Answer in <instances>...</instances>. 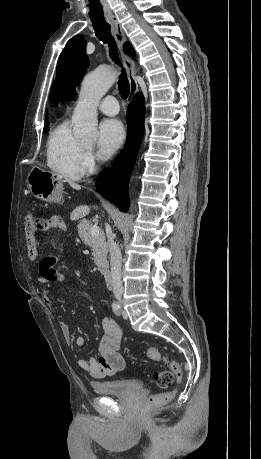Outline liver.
I'll return each instance as SVG.
<instances>
[{
  "label": "liver",
  "instance_id": "1",
  "mask_svg": "<svg viewBox=\"0 0 261 459\" xmlns=\"http://www.w3.org/2000/svg\"><path fill=\"white\" fill-rule=\"evenodd\" d=\"M69 184L75 190H80L81 189V186L79 184H76V183H73V182H69ZM89 212H90V209H89L88 206H86V205L79 206L78 208H76L73 211L72 218L75 219V218H78V217L86 216Z\"/></svg>",
  "mask_w": 261,
  "mask_h": 459
}]
</instances>
